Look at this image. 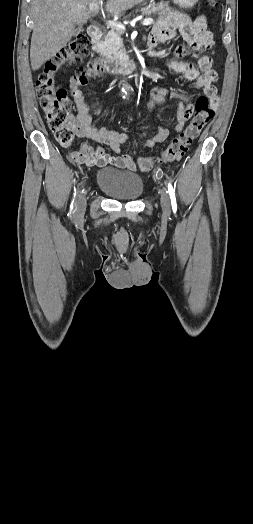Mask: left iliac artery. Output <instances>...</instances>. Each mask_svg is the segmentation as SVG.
<instances>
[{"instance_id": "left-iliac-artery-1", "label": "left iliac artery", "mask_w": 253, "mask_h": 524, "mask_svg": "<svg viewBox=\"0 0 253 524\" xmlns=\"http://www.w3.org/2000/svg\"><path fill=\"white\" fill-rule=\"evenodd\" d=\"M168 192H169V195H170L173 212H176V210H177L176 197H175V192H174V189H173L171 183L168 184Z\"/></svg>"}]
</instances>
